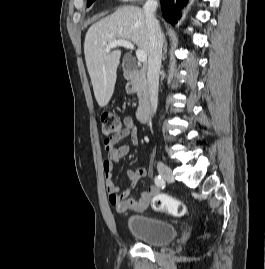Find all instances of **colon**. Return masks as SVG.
I'll list each match as a JSON object with an SVG mask.
<instances>
[{
    "instance_id": "1",
    "label": "colon",
    "mask_w": 265,
    "mask_h": 269,
    "mask_svg": "<svg viewBox=\"0 0 265 269\" xmlns=\"http://www.w3.org/2000/svg\"><path fill=\"white\" fill-rule=\"evenodd\" d=\"M102 133L106 139L117 137L122 132V123L111 112L101 114ZM153 208L160 212H166L174 216H183L186 213V206L178 199L165 194L157 195L153 200Z\"/></svg>"
}]
</instances>
